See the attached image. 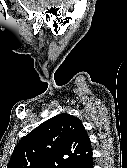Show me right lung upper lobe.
I'll list each match as a JSON object with an SVG mask.
<instances>
[{
  "label": "right lung upper lobe",
  "mask_w": 127,
  "mask_h": 168,
  "mask_svg": "<svg viewBox=\"0 0 127 168\" xmlns=\"http://www.w3.org/2000/svg\"><path fill=\"white\" fill-rule=\"evenodd\" d=\"M91 156V142L81 120L62 113L23 137L7 168H75Z\"/></svg>",
  "instance_id": "1"
}]
</instances>
